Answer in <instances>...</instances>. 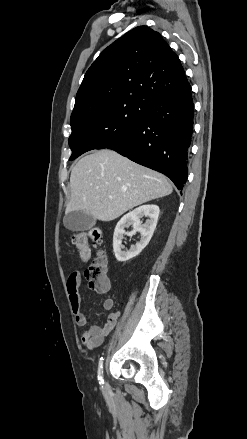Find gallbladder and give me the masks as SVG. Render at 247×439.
Here are the masks:
<instances>
[{
    "instance_id": "obj_1",
    "label": "gallbladder",
    "mask_w": 247,
    "mask_h": 439,
    "mask_svg": "<svg viewBox=\"0 0 247 439\" xmlns=\"http://www.w3.org/2000/svg\"><path fill=\"white\" fill-rule=\"evenodd\" d=\"M63 223L68 230L82 231L92 228L96 220L84 211L76 210L68 212L63 218Z\"/></svg>"
}]
</instances>
